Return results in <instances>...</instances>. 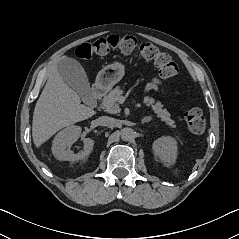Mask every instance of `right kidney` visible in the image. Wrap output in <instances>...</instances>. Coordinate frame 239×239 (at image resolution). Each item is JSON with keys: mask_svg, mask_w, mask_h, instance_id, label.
<instances>
[{"mask_svg": "<svg viewBox=\"0 0 239 239\" xmlns=\"http://www.w3.org/2000/svg\"><path fill=\"white\" fill-rule=\"evenodd\" d=\"M81 127L71 125L60 131L54 138L52 144V153L58 160L75 162L86 158L93 150L94 141L90 138H84L83 150L75 154L68 147L80 138Z\"/></svg>", "mask_w": 239, "mask_h": 239, "instance_id": "obj_1", "label": "right kidney"}]
</instances>
